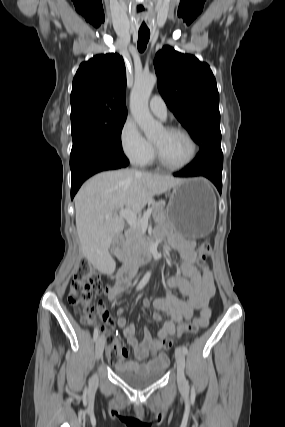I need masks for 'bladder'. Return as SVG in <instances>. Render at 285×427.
Masks as SVG:
<instances>
[{
  "label": "bladder",
  "instance_id": "bladder-1",
  "mask_svg": "<svg viewBox=\"0 0 285 427\" xmlns=\"http://www.w3.org/2000/svg\"><path fill=\"white\" fill-rule=\"evenodd\" d=\"M165 370V366H160L147 372H131L118 367L116 372L129 386L135 389H142L157 382L163 376Z\"/></svg>",
  "mask_w": 285,
  "mask_h": 427
}]
</instances>
